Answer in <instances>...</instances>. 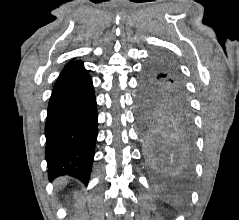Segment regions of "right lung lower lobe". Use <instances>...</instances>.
<instances>
[{"label": "right lung lower lobe", "instance_id": "1", "mask_svg": "<svg viewBox=\"0 0 239 220\" xmlns=\"http://www.w3.org/2000/svg\"><path fill=\"white\" fill-rule=\"evenodd\" d=\"M96 97L80 61L67 65L50 97L45 125L49 179L70 175L88 182L97 138Z\"/></svg>", "mask_w": 239, "mask_h": 220}]
</instances>
